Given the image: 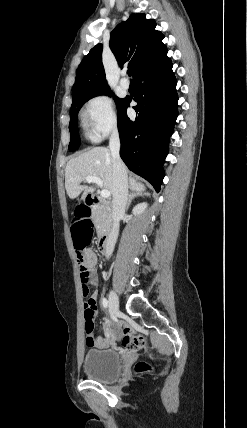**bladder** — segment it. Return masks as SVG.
<instances>
[{"mask_svg": "<svg viewBox=\"0 0 247 428\" xmlns=\"http://www.w3.org/2000/svg\"><path fill=\"white\" fill-rule=\"evenodd\" d=\"M83 369L93 380L110 382L120 376L122 360L113 349H91L85 354Z\"/></svg>", "mask_w": 247, "mask_h": 428, "instance_id": "31cf9c89", "label": "bladder"}]
</instances>
